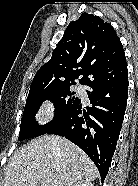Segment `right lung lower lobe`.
<instances>
[{
	"instance_id": "right-lung-lower-lobe-1",
	"label": "right lung lower lobe",
	"mask_w": 138,
	"mask_h": 186,
	"mask_svg": "<svg viewBox=\"0 0 138 186\" xmlns=\"http://www.w3.org/2000/svg\"><path fill=\"white\" fill-rule=\"evenodd\" d=\"M88 86L91 90L87 94L93 106L86 112L80 100L66 117L45 134L63 136L79 146L97 166L103 182L111 165L126 110L128 77L116 83Z\"/></svg>"
}]
</instances>
